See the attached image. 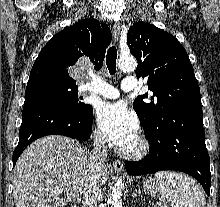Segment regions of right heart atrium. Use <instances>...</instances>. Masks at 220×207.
I'll use <instances>...</instances> for the list:
<instances>
[{
	"instance_id": "1",
	"label": "right heart atrium",
	"mask_w": 220,
	"mask_h": 207,
	"mask_svg": "<svg viewBox=\"0 0 220 207\" xmlns=\"http://www.w3.org/2000/svg\"><path fill=\"white\" fill-rule=\"evenodd\" d=\"M93 136H94L95 141H96L98 144H101V145L106 144V138H105V136L100 132V130L94 129V131H93Z\"/></svg>"
}]
</instances>
